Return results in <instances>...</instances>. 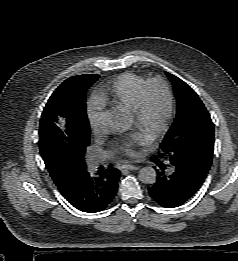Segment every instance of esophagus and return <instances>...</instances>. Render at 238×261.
Returning a JSON list of instances; mask_svg holds the SVG:
<instances>
[{"instance_id":"esophagus-1","label":"esophagus","mask_w":238,"mask_h":261,"mask_svg":"<svg viewBox=\"0 0 238 261\" xmlns=\"http://www.w3.org/2000/svg\"><path fill=\"white\" fill-rule=\"evenodd\" d=\"M139 167L131 164H124L121 166V169H127V170H137Z\"/></svg>"}]
</instances>
